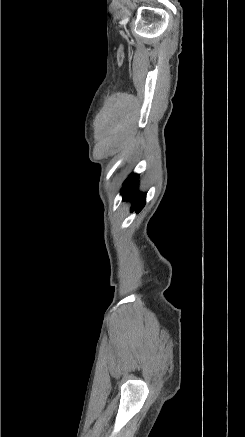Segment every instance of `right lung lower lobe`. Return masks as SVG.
I'll use <instances>...</instances> for the list:
<instances>
[{
    "label": "right lung lower lobe",
    "mask_w": 245,
    "mask_h": 437,
    "mask_svg": "<svg viewBox=\"0 0 245 437\" xmlns=\"http://www.w3.org/2000/svg\"><path fill=\"white\" fill-rule=\"evenodd\" d=\"M138 177L139 175L137 174H131L124 182L123 187L121 189V195L123 200H133L131 212L132 211L140 212V210L145 205L146 194L137 192Z\"/></svg>",
    "instance_id": "right-lung-lower-lobe-1"
}]
</instances>
